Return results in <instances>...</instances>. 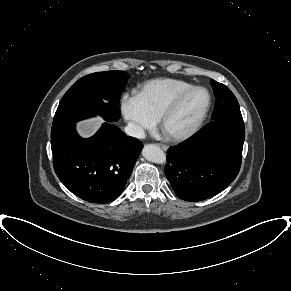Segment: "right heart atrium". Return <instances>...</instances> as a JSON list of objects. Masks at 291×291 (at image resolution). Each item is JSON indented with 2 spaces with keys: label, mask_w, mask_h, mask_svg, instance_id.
Returning <instances> with one entry per match:
<instances>
[{
  "label": "right heart atrium",
  "mask_w": 291,
  "mask_h": 291,
  "mask_svg": "<svg viewBox=\"0 0 291 291\" xmlns=\"http://www.w3.org/2000/svg\"><path fill=\"white\" fill-rule=\"evenodd\" d=\"M121 111L137 137L155 125L156 119L145 110L137 96L124 94L121 99Z\"/></svg>",
  "instance_id": "right-heart-atrium-1"
}]
</instances>
